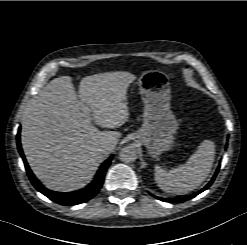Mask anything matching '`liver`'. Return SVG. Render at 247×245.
<instances>
[{
  "label": "liver",
  "mask_w": 247,
  "mask_h": 245,
  "mask_svg": "<svg viewBox=\"0 0 247 245\" xmlns=\"http://www.w3.org/2000/svg\"><path fill=\"white\" fill-rule=\"evenodd\" d=\"M136 77L126 71L84 77L78 95L72 78L50 81L28 104L21 143L35 176L50 190L70 192L85 187L104 156L100 145H115L117 128L129 118L127 90ZM79 98V100H78ZM86 113H89L90 120ZM114 149V148H113Z\"/></svg>",
  "instance_id": "1"
}]
</instances>
